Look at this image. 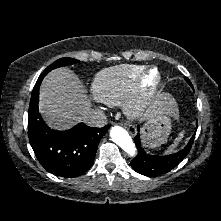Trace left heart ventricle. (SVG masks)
<instances>
[{"mask_svg": "<svg viewBox=\"0 0 221 221\" xmlns=\"http://www.w3.org/2000/svg\"><path fill=\"white\" fill-rule=\"evenodd\" d=\"M154 79H155V74L154 73H152L150 76H149V78L147 79V81H146V85H150V84H152V82L154 81Z\"/></svg>", "mask_w": 221, "mask_h": 221, "instance_id": "1", "label": "left heart ventricle"}]
</instances>
